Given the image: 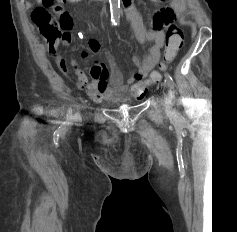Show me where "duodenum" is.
Returning a JSON list of instances; mask_svg holds the SVG:
<instances>
[{
    "label": "duodenum",
    "mask_w": 237,
    "mask_h": 232,
    "mask_svg": "<svg viewBox=\"0 0 237 232\" xmlns=\"http://www.w3.org/2000/svg\"><path fill=\"white\" fill-rule=\"evenodd\" d=\"M96 1L103 2V1H105V0H96ZM123 4H124V6L127 8V7L130 6L131 0H123Z\"/></svg>",
    "instance_id": "1"
}]
</instances>
